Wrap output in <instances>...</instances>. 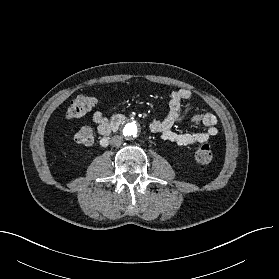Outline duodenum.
I'll return each instance as SVG.
<instances>
[{"instance_id": "duodenum-1", "label": "duodenum", "mask_w": 279, "mask_h": 279, "mask_svg": "<svg viewBox=\"0 0 279 279\" xmlns=\"http://www.w3.org/2000/svg\"><path fill=\"white\" fill-rule=\"evenodd\" d=\"M124 120H125V117L122 115L114 117V119L109 127V132L100 139V145L102 147L108 146L109 141H110V134L115 132L119 128V126L124 122Z\"/></svg>"}]
</instances>
